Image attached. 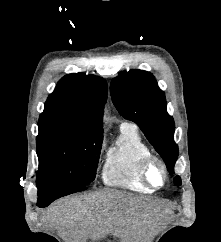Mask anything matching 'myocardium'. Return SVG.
<instances>
[{
    "mask_svg": "<svg viewBox=\"0 0 221 242\" xmlns=\"http://www.w3.org/2000/svg\"><path fill=\"white\" fill-rule=\"evenodd\" d=\"M153 166H158L162 172L163 175V181L162 184L157 186L155 185L150 178V169ZM140 175L143 179V181L146 183L147 186H149L151 189H161L163 188L168 180V168L166 163L163 159L156 155H149L146 158L143 159V161L140 164Z\"/></svg>",
    "mask_w": 221,
    "mask_h": 242,
    "instance_id": "f54148a6",
    "label": "myocardium"
}]
</instances>
